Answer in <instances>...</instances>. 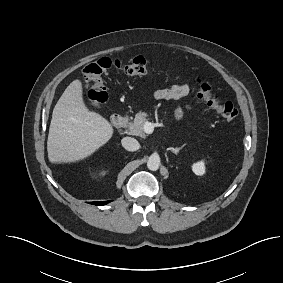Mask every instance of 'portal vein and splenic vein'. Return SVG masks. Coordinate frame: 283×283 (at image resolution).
Here are the masks:
<instances>
[{
	"instance_id": "18ae733b",
	"label": "portal vein and splenic vein",
	"mask_w": 283,
	"mask_h": 283,
	"mask_svg": "<svg viewBox=\"0 0 283 283\" xmlns=\"http://www.w3.org/2000/svg\"><path fill=\"white\" fill-rule=\"evenodd\" d=\"M143 130H144L145 133L151 134V133L153 132V130H154V125H153V123H151V122H146V123L144 124Z\"/></svg>"
}]
</instances>
